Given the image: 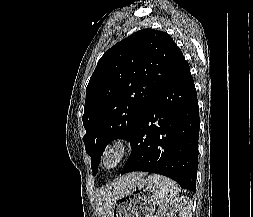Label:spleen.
I'll return each mask as SVG.
<instances>
[{"label":"spleen","mask_w":253,"mask_h":217,"mask_svg":"<svg viewBox=\"0 0 253 217\" xmlns=\"http://www.w3.org/2000/svg\"><path fill=\"white\" fill-rule=\"evenodd\" d=\"M148 179L156 186L157 202L160 210H162L166 205L170 204L177 195L178 185L171 179L158 174H152Z\"/></svg>","instance_id":"obj_1"}]
</instances>
